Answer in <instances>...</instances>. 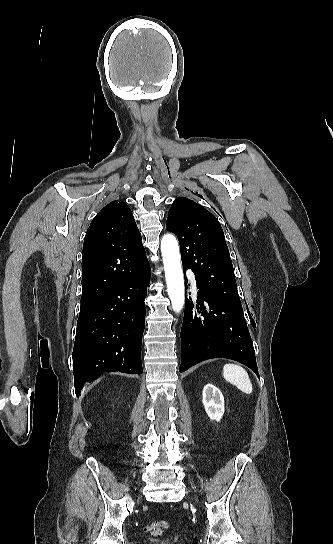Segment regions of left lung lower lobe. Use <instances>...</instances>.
<instances>
[{
	"instance_id": "left-lung-lower-lobe-1",
	"label": "left lung lower lobe",
	"mask_w": 333,
	"mask_h": 544,
	"mask_svg": "<svg viewBox=\"0 0 333 544\" xmlns=\"http://www.w3.org/2000/svg\"><path fill=\"white\" fill-rule=\"evenodd\" d=\"M197 282L195 305L185 299L181 329L180 372L211 358H228L252 369L259 377L253 343L242 310L226 303ZM252 326L255 327L254 323Z\"/></svg>"
}]
</instances>
